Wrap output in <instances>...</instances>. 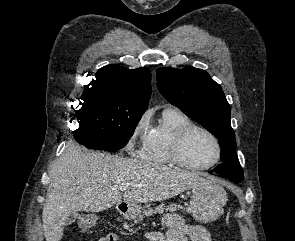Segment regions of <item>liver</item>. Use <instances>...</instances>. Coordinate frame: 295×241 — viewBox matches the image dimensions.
<instances>
[{
  "label": "liver",
  "instance_id": "liver-1",
  "mask_svg": "<svg viewBox=\"0 0 295 241\" xmlns=\"http://www.w3.org/2000/svg\"><path fill=\"white\" fill-rule=\"evenodd\" d=\"M43 206L46 241H60L66 219L78 211L99 212L115 204L163 201L209 180L169 166L89 152L69 141L49 172ZM129 187L121 195L119 186Z\"/></svg>",
  "mask_w": 295,
  "mask_h": 241
}]
</instances>
